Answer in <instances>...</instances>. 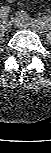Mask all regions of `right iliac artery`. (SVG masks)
Here are the masks:
<instances>
[{
    "label": "right iliac artery",
    "instance_id": "obj_1",
    "mask_svg": "<svg viewBox=\"0 0 51 153\" xmlns=\"http://www.w3.org/2000/svg\"><path fill=\"white\" fill-rule=\"evenodd\" d=\"M10 12L9 6H2L0 9V18L2 21H5L8 18Z\"/></svg>",
    "mask_w": 51,
    "mask_h": 153
}]
</instances>
